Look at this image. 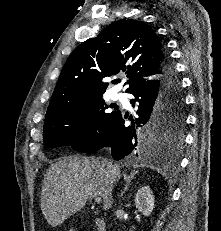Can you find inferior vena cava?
Returning <instances> with one entry per match:
<instances>
[{"label": "inferior vena cava", "instance_id": "602c4592", "mask_svg": "<svg viewBox=\"0 0 221 231\" xmlns=\"http://www.w3.org/2000/svg\"><path fill=\"white\" fill-rule=\"evenodd\" d=\"M104 162L107 164L108 167H110V168L112 167V163L111 162H108L106 160H104Z\"/></svg>", "mask_w": 221, "mask_h": 231}]
</instances>
